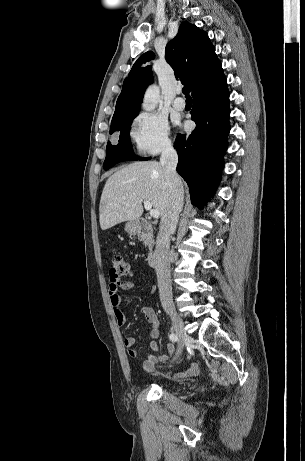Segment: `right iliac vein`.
Wrapping results in <instances>:
<instances>
[{"label":"right iliac vein","instance_id":"right-iliac-vein-1","mask_svg":"<svg viewBox=\"0 0 305 461\" xmlns=\"http://www.w3.org/2000/svg\"><path fill=\"white\" fill-rule=\"evenodd\" d=\"M168 315L171 319V322H172V326L176 332V334L178 335V337L180 338V341H181V346H180V349L177 353V357L182 353V350H183V347H184V344L189 341L191 338L190 336L187 334L185 328H184V325H183V321L182 319L179 317V315L172 309L168 310Z\"/></svg>","mask_w":305,"mask_h":461}]
</instances>
